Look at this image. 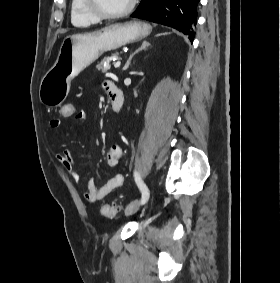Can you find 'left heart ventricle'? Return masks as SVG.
I'll list each match as a JSON object with an SVG mask.
<instances>
[{"label": "left heart ventricle", "instance_id": "left-heart-ventricle-1", "mask_svg": "<svg viewBox=\"0 0 280 283\" xmlns=\"http://www.w3.org/2000/svg\"><path fill=\"white\" fill-rule=\"evenodd\" d=\"M98 6L106 13L114 14L126 9L130 0H96Z\"/></svg>", "mask_w": 280, "mask_h": 283}]
</instances>
